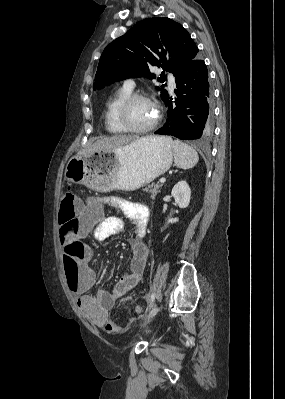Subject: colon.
Segmentation results:
<instances>
[{"label":"colon","mask_w":285,"mask_h":399,"mask_svg":"<svg viewBox=\"0 0 285 399\" xmlns=\"http://www.w3.org/2000/svg\"><path fill=\"white\" fill-rule=\"evenodd\" d=\"M80 202L78 197L72 192L68 191L62 201L59 214V222L62 227L70 231L73 236L77 235L78 224L71 222L74 218L75 211L79 208ZM84 258V250L79 244H74L64 254V271L66 277L75 281L81 271V261ZM136 311L140 312L141 307L137 306Z\"/></svg>","instance_id":"obj_1"}]
</instances>
